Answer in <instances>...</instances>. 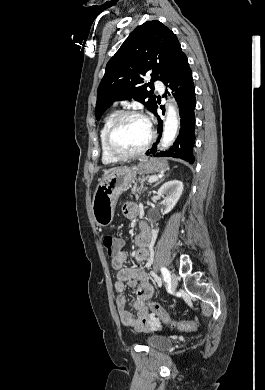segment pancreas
Wrapping results in <instances>:
<instances>
[{"label": "pancreas", "mask_w": 265, "mask_h": 390, "mask_svg": "<svg viewBox=\"0 0 265 390\" xmlns=\"http://www.w3.org/2000/svg\"><path fill=\"white\" fill-rule=\"evenodd\" d=\"M149 180V177H144L141 181V185L140 186H134L132 188V193L135 195L136 198L139 197V195L141 194V192L143 191V185H144V182Z\"/></svg>", "instance_id": "1"}]
</instances>
